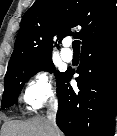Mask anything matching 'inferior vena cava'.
Instances as JSON below:
<instances>
[{"label":"inferior vena cava","mask_w":117,"mask_h":136,"mask_svg":"<svg viewBox=\"0 0 117 136\" xmlns=\"http://www.w3.org/2000/svg\"><path fill=\"white\" fill-rule=\"evenodd\" d=\"M57 109H58V103L57 101H54L50 105L49 110L47 112L48 120L54 125V127H56L55 118H56Z\"/></svg>","instance_id":"inferior-vena-cava-1"}]
</instances>
